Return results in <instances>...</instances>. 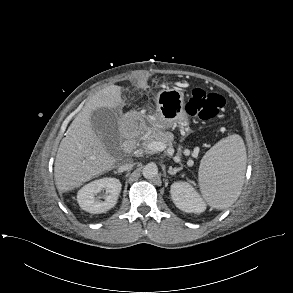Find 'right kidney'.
<instances>
[{"mask_svg": "<svg viewBox=\"0 0 293 293\" xmlns=\"http://www.w3.org/2000/svg\"><path fill=\"white\" fill-rule=\"evenodd\" d=\"M121 187V182L116 178L94 180L78 191V204L86 212L93 214L104 213L117 203ZM102 190H105V194L96 198L95 196Z\"/></svg>", "mask_w": 293, "mask_h": 293, "instance_id": "right-kidney-1", "label": "right kidney"}]
</instances>
